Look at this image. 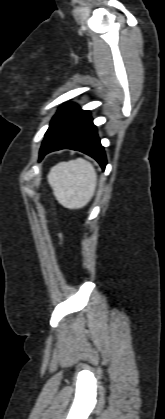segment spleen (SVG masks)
<instances>
[{
	"label": "spleen",
	"mask_w": 165,
	"mask_h": 419,
	"mask_svg": "<svg viewBox=\"0 0 165 419\" xmlns=\"http://www.w3.org/2000/svg\"><path fill=\"white\" fill-rule=\"evenodd\" d=\"M47 179L57 201L69 209L84 207L94 196L97 184L93 165L83 158L56 164Z\"/></svg>",
	"instance_id": "obj_1"
}]
</instances>
